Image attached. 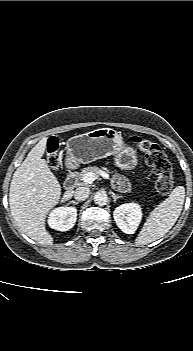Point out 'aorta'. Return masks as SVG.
<instances>
[{
    "mask_svg": "<svg viewBox=\"0 0 193 351\" xmlns=\"http://www.w3.org/2000/svg\"><path fill=\"white\" fill-rule=\"evenodd\" d=\"M94 202L98 206H104L108 202V197L105 192H96L94 195Z\"/></svg>",
    "mask_w": 193,
    "mask_h": 351,
    "instance_id": "aorta-1",
    "label": "aorta"
}]
</instances>
